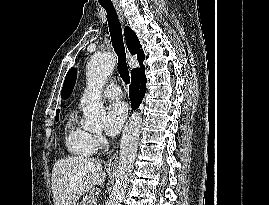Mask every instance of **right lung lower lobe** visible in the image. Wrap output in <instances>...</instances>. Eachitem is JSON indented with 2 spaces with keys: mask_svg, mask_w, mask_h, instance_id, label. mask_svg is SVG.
I'll return each mask as SVG.
<instances>
[{
  "mask_svg": "<svg viewBox=\"0 0 269 205\" xmlns=\"http://www.w3.org/2000/svg\"><path fill=\"white\" fill-rule=\"evenodd\" d=\"M145 92H146V76L144 70L139 71L134 76H132V82L129 87V97L133 110L139 107Z\"/></svg>",
  "mask_w": 269,
  "mask_h": 205,
  "instance_id": "1",
  "label": "right lung lower lobe"
}]
</instances>
